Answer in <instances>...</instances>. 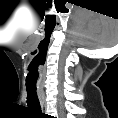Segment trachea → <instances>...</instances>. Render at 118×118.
I'll return each instance as SVG.
<instances>
[{"label":"trachea","mask_w":118,"mask_h":118,"mask_svg":"<svg viewBox=\"0 0 118 118\" xmlns=\"http://www.w3.org/2000/svg\"><path fill=\"white\" fill-rule=\"evenodd\" d=\"M27 104L33 110H39L41 112L40 102L37 96L36 89L27 88Z\"/></svg>","instance_id":"1"}]
</instances>
